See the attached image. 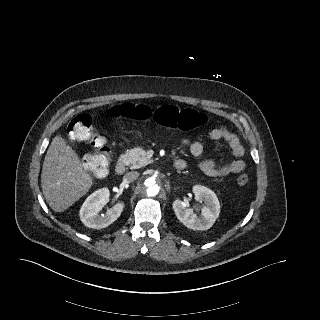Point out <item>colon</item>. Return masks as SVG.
<instances>
[{"mask_svg":"<svg viewBox=\"0 0 320 320\" xmlns=\"http://www.w3.org/2000/svg\"><path fill=\"white\" fill-rule=\"evenodd\" d=\"M109 116L136 121L153 119L160 126L182 131L200 128L208 121L205 114L190 108L164 105L152 110L149 106L129 102L112 107ZM67 130L72 139L86 142L94 148V151L86 154L83 159L86 167L96 176L107 175L110 165L109 148L105 138L94 129L90 116L86 114L77 115L71 120ZM248 181L249 176L247 174H241L237 178L240 185H245Z\"/></svg>","mask_w":320,"mask_h":320,"instance_id":"1","label":"colon"}]
</instances>
